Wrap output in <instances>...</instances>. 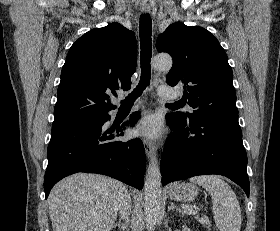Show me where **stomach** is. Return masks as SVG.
I'll list each match as a JSON object with an SVG mask.
<instances>
[{
	"label": "stomach",
	"instance_id": "obj_1",
	"mask_svg": "<svg viewBox=\"0 0 280 231\" xmlns=\"http://www.w3.org/2000/svg\"><path fill=\"white\" fill-rule=\"evenodd\" d=\"M169 195L175 201H193L198 195V187L194 183H172Z\"/></svg>",
	"mask_w": 280,
	"mask_h": 231
}]
</instances>
